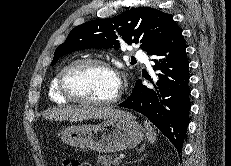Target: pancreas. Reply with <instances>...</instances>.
Returning a JSON list of instances; mask_svg holds the SVG:
<instances>
[{
	"label": "pancreas",
	"instance_id": "pancreas-1",
	"mask_svg": "<svg viewBox=\"0 0 231 166\" xmlns=\"http://www.w3.org/2000/svg\"><path fill=\"white\" fill-rule=\"evenodd\" d=\"M97 163L101 164L102 166H111V164L118 166L120 161H115V159L111 160L110 157L105 155H99Z\"/></svg>",
	"mask_w": 231,
	"mask_h": 166
}]
</instances>
